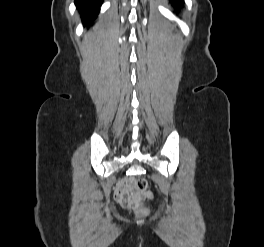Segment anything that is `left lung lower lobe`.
Masks as SVG:
<instances>
[{"label": "left lung lower lobe", "instance_id": "1", "mask_svg": "<svg viewBox=\"0 0 264 247\" xmlns=\"http://www.w3.org/2000/svg\"><path fill=\"white\" fill-rule=\"evenodd\" d=\"M172 1V4L174 6H176L177 9L181 8L182 7V4H183V0H171Z\"/></svg>", "mask_w": 264, "mask_h": 247}]
</instances>
